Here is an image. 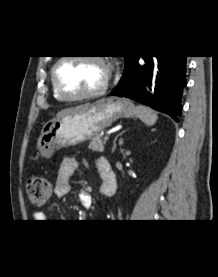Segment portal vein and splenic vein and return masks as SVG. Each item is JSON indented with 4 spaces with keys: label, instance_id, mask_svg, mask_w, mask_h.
I'll return each instance as SVG.
<instances>
[{
    "label": "portal vein and splenic vein",
    "instance_id": "1",
    "mask_svg": "<svg viewBox=\"0 0 218 277\" xmlns=\"http://www.w3.org/2000/svg\"><path fill=\"white\" fill-rule=\"evenodd\" d=\"M109 140V136H105L104 137V141L106 142V141H108Z\"/></svg>",
    "mask_w": 218,
    "mask_h": 277
}]
</instances>
